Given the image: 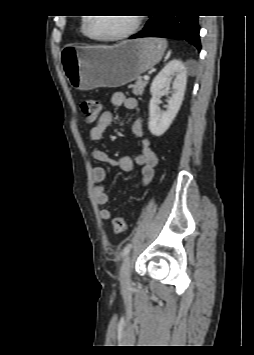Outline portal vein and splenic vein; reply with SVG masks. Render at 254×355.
I'll return each instance as SVG.
<instances>
[{
	"instance_id": "portal-vein-and-splenic-vein-1",
	"label": "portal vein and splenic vein",
	"mask_w": 254,
	"mask_h": 355,
	"mask_svg": "<svg viewBox=\"0 0 254 355\" xmlns=\"http://www.w3.org/2000/svg\"><path fill=\"white\" fill-rule=\"evenodd\" d=\"M144 80H146V81L149 80V76H148V75H145V76H144Z\"/></svg>"
}]
</instances>
